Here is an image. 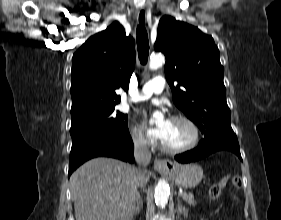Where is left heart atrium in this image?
<instances>
[{"instance_id": "39dd6f15", "label": "left heart atrium", "mask_w": 281, "mask_h": 220, "mask_svg": "<svg viewBox=\"0 0 281 220\" xmlns=\"http://www.w3.org/2000/svg\"><path fill=\"white\" fill-rule=\"evenodd\" d=\"M169 120H165L161 123L160 126L156 127V128H149L148 132L151 136H153L156 139H159L162 141V139L165 136V132H166V127L168 124Z\"/></svg>"}]
</instances>
